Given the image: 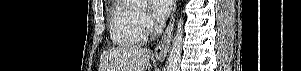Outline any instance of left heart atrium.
<instances>
[{
  "instance_id": "obj_1",
  "label": "left heart atrium",
  "mask_w": 301,
  "mask_h": 71,
  "mask_svg": "<svg viewBox=\"0 0 301 71\" xmlns=\"http://www.w3.org/2000/svg\"><path fill=\"white\" fill-rule=\"evenodd\" d=\"M153 14L158 18H164L170 12L172 0H150Z\"/></svg>"
}]
</instances>
